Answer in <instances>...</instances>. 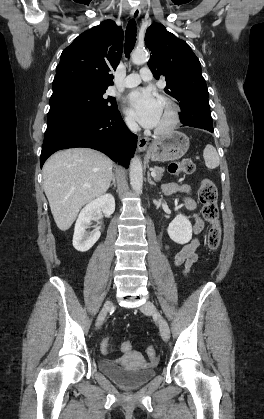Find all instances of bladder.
Segmentation results:
<instances>
[{
  "label": "bladder",
  "mask_w": 264,
  "mask_h": 419,
  "mask_svg": "<svg viewBox=\"0 0 264 419\" xmlns=\"http://www.w3.org/2000/svg\"><path fill=\"white\" fill-rule=\"evenodd\" d=\"M98 368L115 383L127 389L138 388L146 384L156 374L153 366L132 369L107 359L100 360Z\"/></svg>",
  "instance_id": "31cf9c89"
}]
</instances>
